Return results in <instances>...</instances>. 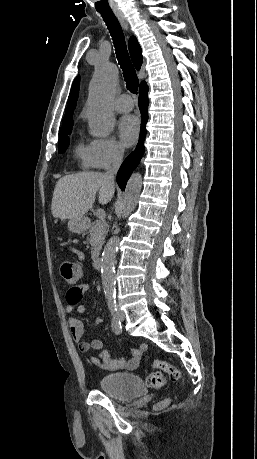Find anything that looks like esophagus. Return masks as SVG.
<instances>
[{
	"label": "esophagus",
	"instance_id": "34e87169",
	"mask_svg": "<svg viewBox=\"0 0 257 459\" xmlns=\"http://www.w3.org/2000/svg\"><path fill=\"white\" fill-rule=\"evenodd\" d=\"M114 14L117 17L118 21L120 22L121 26L125 31H129V24L124 16V14L120 10H114Z\"/></svg>",
	"mask_w": 257,
	"mask_h": 459
}]
</instances>
